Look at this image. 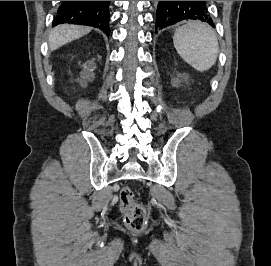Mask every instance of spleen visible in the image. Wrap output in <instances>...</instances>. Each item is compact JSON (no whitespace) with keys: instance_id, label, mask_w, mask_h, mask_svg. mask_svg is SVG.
Segmentation results:
<instances>
[{"instance_id":"1","label":"spleen","mask_w":271,"mask_h":266,"mask_svg":"<svg viewBox=\"0 0 271 266\" xmlns=\"http://www.w3.org/2000/svg\"><path fill=\"white\" fill-rule=\"evenodd\" d=\"M180 57L195 70L204 72L216 62L219 44L214 30L202 22H192L178 28L173 37Z\"/></svg>"}]
</instances>
